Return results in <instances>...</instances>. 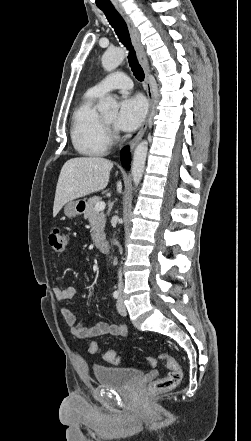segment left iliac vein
<instances>
[{
	"label": "left iliac vein",
	"instance_id": "4c4485c4",
	"mask_svg": "<svg viewBox=\"0 0 251 441\" xmlns=\"http://www.w3.org/2000/svg\"><path fill=\"white\" fill-rule=\"evenodd\" d=\"M117 309H118V312H119L120 315H122V316H126L127 315V310H126V307H125L124 302H123V295H122V293H121V295H120V297H119V299L117 301Z\"/></svg>",
	"mask_w": 251,
	"mask_h": 441
}]
</instances>
